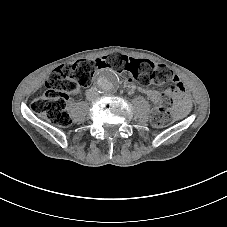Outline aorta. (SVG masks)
<instances>
[{
	"label": "aorta",
	"instance_id": "1",
	"mask_svg": "<svg viewBox=\"0 0 227 227\" xmlns=\"http://www.w3.org/2000/svg\"><path fill=\"white\" fill-rule=\"evenodd\" d=\"M96 86L104 94H110L119 87V78L111 69L102 70L96 77Z\"/></svg>",
	"mask_w": 227,
	"mask_h": 227
}]
</instances>
